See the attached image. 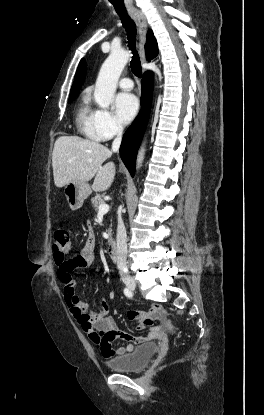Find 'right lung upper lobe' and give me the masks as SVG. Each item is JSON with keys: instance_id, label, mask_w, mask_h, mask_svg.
I'll list each match as a JSON object with an SVG mask.
<instances>
[{"instance_id": "right-lung-upper-lobe-1", "label": "right lung upper lobe", "mask_w": 264, "mask_h": 415, "mask_svg": "<svg viewBox=\"0 0 264 415\" xmlns=\"http://www.w3.org/2000/svg\"><path fill=\"white\" fill-rule=\"evenodd\" d=\"M145 51H146L147 60H151L158 55L157 42L151 30H149L147 33V42L145 45ZM85 73H86V64H85V61L82 59L79 63V66L75 74V80L71 87L70 96L77 95L81 85L84 82Z\"/></svg>"}]
</instances>
